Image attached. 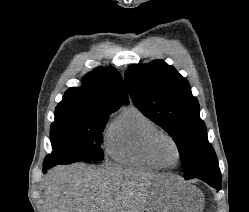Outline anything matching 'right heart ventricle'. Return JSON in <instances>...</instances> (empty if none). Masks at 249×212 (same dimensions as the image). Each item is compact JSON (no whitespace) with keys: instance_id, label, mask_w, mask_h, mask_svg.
<instances>
[{"instance_id":"1","label":"right heart ventricle","mask_w":249,"mask_h":212,"mask_svg":"<svg viewBox=\"0 0 249 212\" xmlns=\"http://www.w3.org/2000/svg\"><path fill=\"white\" fill-rule=\"evenodd\" d=\"M160 131L156 123L140 108L125 107L107 127L105 149L115 161L134 167L160 169L149 155L148 142Z\"/></svg>"}]
</instances>
